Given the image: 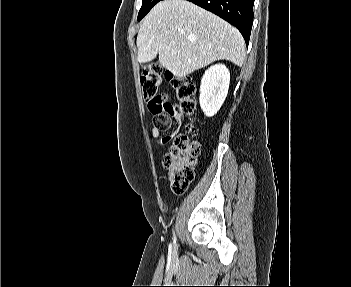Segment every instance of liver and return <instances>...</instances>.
Masks as SVG:
<instances>
[{"mask_svg": "<svg viewBox=\"0 0 351 287\" xmlns=\"http://www.w3.org/2000/svg\"><path fill=\"white\" fill-rule=\"evenodd\" d=\"M138 61L159 55V65L178 78L216 60L242 66L246 52L232 25L186 0H164L144 18L137 35Z\"/></svg>", "mask_w": 351, "mask_h": 287, "instance_id": "obj_1", "label": "liver"}]
</instances>
